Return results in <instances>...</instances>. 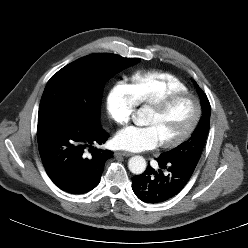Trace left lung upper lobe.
<instances>
[{"label": "left lung upper lobe", "instance_id": "left-lung-upper-lobe-1", "mask_svg": "<svg viewBox=\"0 0 248 248\" xmlns=\"http://www.w3.org/2000/svg\"><path fill=\"white\" fill-rule=\"evenodd\" d=\"M195 86L201 97V104L203 109L202 118L199 121V124L193 132L192 136L187 141L168 152L162 153L160 155L161 158L176 161L194 160L198 162L201 157L209 132L211 108L207 96L196 83Z\"/></svg>", "mask_w": 248, "mask_h": 248}]
</instances>
